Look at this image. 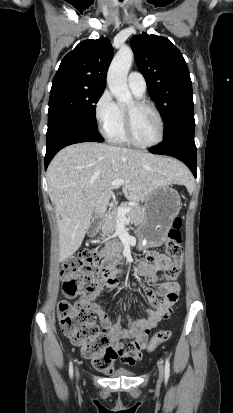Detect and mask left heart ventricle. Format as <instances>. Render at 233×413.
<instances>
[{
    "mask_svg": "<svg viewBox=\"0 0 233 413\" xmlns=\"http://www.w3.org/2000/svg\"><path fill=\"white\" fill-rule=\"evenodd\" d=\"M127 109L133 110V130L135 138L144 144L155 142L160 133V124L155 113L149 108H134L131 103Z\"/></svg>",
    "mask_w": 233,
    "mask_h": 413,
    "instance_id": "left-heart-ventricle-1",
    "label": "left heart ventricle"
}]
</instances>
